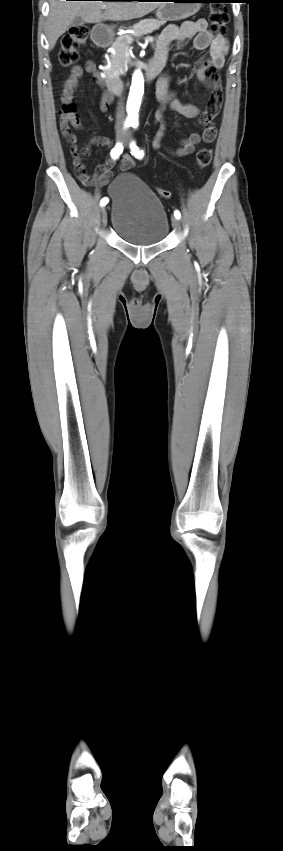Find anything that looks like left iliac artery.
Listing matches in <instances>:
<instances>
[{
    "instance_id": "obj_1",
    "label": "left iliac artery",
    "mask_w": 283,
    "mask_h": 851,
    "mask_svg": "<svg viewBox=\"0 0 283 851\" xmlns=\"http://www.w3.org/2000/svg\"><path fill=\"white\" fill-rule=\"evenodd\" d=\"M132 126H133L134 128H136V127H137V124H133ZM130 149H131V153H132V155H134L136 158L141 159V158L144 156V152H143L142 150H140V149H139V147L136 145L135 141H132V142H131V144H130ZM174 216H175L177 219H180V217H181V213H180L178 210H175V211H174Z\"/></svg>"
}]
</instances>
